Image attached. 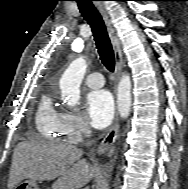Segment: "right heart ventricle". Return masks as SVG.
<instances>
[{"label":"right heart ventricle","instance_id":"right-heart-ventricle-1","mask_svg":"<svg viewBox=\"0 0 188 189\" xmlns=\"http://www.w3.org/2000/svg\"><path fill=\"white\" fill-rule=\"evenodd\" d=\"M36 129L44 138L60 140L66 134L63 113L53 105L50 94H44L35 117Z\"/></svg>","mask_w":188,"mask_h":189}]
</instances>
